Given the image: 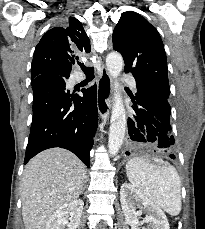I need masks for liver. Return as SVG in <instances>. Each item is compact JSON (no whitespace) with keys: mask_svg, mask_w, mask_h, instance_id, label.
<instances>
[{"mask_svg":"<svg viewBox=\"0 0 205 229\" xmlns=\"http://www.w3.org/2000/svg\"><path fill=\"white\" fill-rule=\"evenodd\" d=\"M85 182L84 164L68 150L51 148L33 157L21 181L25 229H45L55 210L79 197Z\"/></svg>","mask_w":205,"mask_h":229,"instance_id":"1","label":"liver"}]
</instances>
